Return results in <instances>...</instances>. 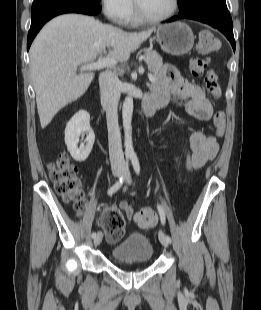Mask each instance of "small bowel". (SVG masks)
Returning <instances> with one entry per match:
<instances>
[{
	"instance_id": "small-bowel-1",
	"label": "small bowel",
	"mask_w": 261,
	"mask_h": 310,
	"mask_svg": "<svg viewBox=\"0 0 261 310\" xmlns=\"http://www.w3.org/2000/svg\"><path fill=\"white\" fill-rule=\"evenodd\" d=\"M159 74L158 80L152 86L151 95L165 102L170 96H175L183 102L185 110L192 117L199 120H208L211 117L212 105L201 86L181 77L179 72L170 65H164ZM190 147L192 166L199 168L216 156L219 144L215 137H207L196 130L190 137ZM119 208L128 220L134 218V210L127 201H121Z\"/></svg>"
}]
</instances>
